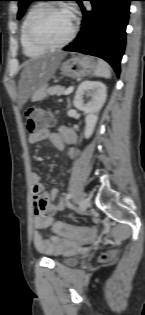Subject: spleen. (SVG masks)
<instances>
[{"label":"spleen","mask_w":145,"mask_h":315,"mask_svg":"<svg viewBox=\"0 0 145 315\" xmlns=\"http://www.w3.org/2000/svg\"><path fill=\"white\" fill-rule=\"evenodd\" d=\"M94 75L96 77H103L107 79L111 78V68L109 64L106 61L99 59L94 71Z\"/></svg>","instance_id":"1"}]
</instances>
